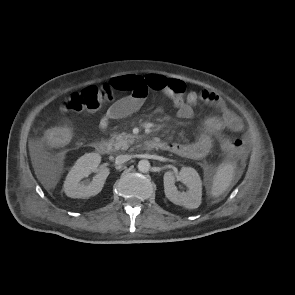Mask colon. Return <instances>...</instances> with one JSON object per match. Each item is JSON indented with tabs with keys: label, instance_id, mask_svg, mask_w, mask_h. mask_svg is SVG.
Listing matches in <instances>:
<instances>
[{
	"label": "colon",
	"instance_id": "1",
	"mask_svg": "<svg viewBox=\"0 0 295 295\" xmlns=\"http://www.w3.org/2000/svg\"><path fill=\"white\" fill-rule=\"evenodd\" d=\"M115 89L109 84L101 88L89 87L82 92L73 94L62 106L66 112L95 111L100 106L112 100ZM46 140L54 146H63L69 142L70 132L67 127L60 126L49 129ZM220 146L228 157L241 156L244 152L243 142L237 138H222Z\"/></svg>",
	"mask_w": 295,
	"mask_h": 295
}]
</instances>
